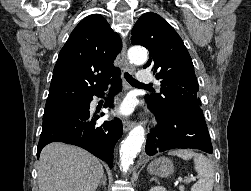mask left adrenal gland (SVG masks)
Masks as SVG:
<instances>
[{"label": "left adrenal gland", "mask_w": 251, "mask_h": 191, "mask_svg": "<svg viewBox=\"0 0 251 191\" xmlns=\"http://www.w3.org/2000/svg\"><path fill=\"white\" fill-rule=\"evenodd\" d=\"M153 179H155V181H157L156 177H151V179H149V181H153Z\"/></svg>", "instance_id": "obj_1"}]
</instances>
